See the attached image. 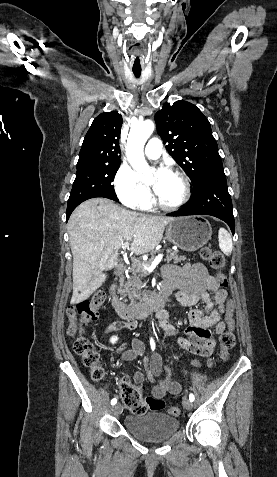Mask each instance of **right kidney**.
Segmentation results:
<instances>
[{
    "label": "right kidney",
    "mask_w": 277,
    "mask_h": 477,
    "mask_svg": "<svg viewBox=\"0 0 277 477\" xmlns=\"http://www.w3.org/2000/svg\"><path fill=\"white\" fill-rule=\"evenodd\" d=\"M117 340H118V337H117V336H113V337H111L110 342H111L112 344H115V343L117 342Z\"/></svg>",
    "instance_id": "right-kidney-1"
}]
</instances>
